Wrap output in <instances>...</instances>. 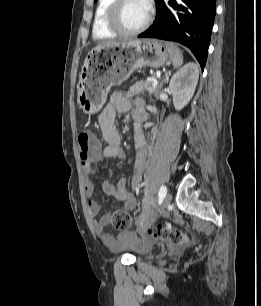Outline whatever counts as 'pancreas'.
<instances>
[{"label":"pancreas","instance_id":"obj_1","mask_svg":"<svg viewBox=\"0 0 261 306\" xmlns=\"http://www.w3.org/2000/svg\"><path fill=\"white\" fill-rule=\"evenodd\" d=\"M145 91H148L150 94L159 93L158 87H153L151 81H139L135 83L132 87H130L128 93L126 94V98L132 97L137 94H143Z\"/></svg>","mask_w":261,"mask_h":306}]
</instances>
